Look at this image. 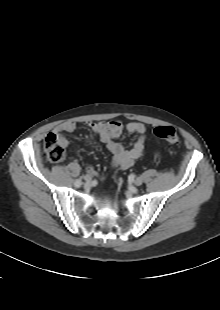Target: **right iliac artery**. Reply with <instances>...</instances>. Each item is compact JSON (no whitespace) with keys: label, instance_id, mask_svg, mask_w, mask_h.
Segmentation results:
<instances>
[{"label":"right iliac artery","instance_id":"right-iliac-artery-1","mask_svg":"<svg viewBox=\"0 0 220 310\" xmlns=\"http://www.w3.org/2000/svg\"><path fill=\"white\" fill-rule=\"evenodd\" d=\"M74 185H75L76 187H80V186H81V179H80V178L77 179V180L75 181Z\"/></svg>","mask_w":220,"mask_h":310}]
</instances>
